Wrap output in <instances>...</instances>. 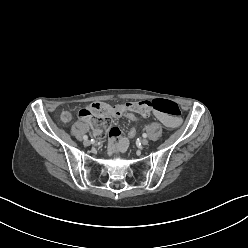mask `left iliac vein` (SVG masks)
<instances>
[{"label": "left iliac vein", "instance_id": "obj_1", "mask_svg": "<svg viewBox=\"0 0 248 248\" xmlns=\"http://www.w3.org/2000/svg\"><path fill=\"white\" fill-rule=\"evenodd\" d=\"M141 143L143 146H147L149 144V141L147 139H142Z\"/></svg>", "mask_w": 248, "mask_h": 248}]
</instances>
